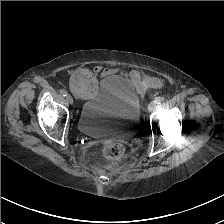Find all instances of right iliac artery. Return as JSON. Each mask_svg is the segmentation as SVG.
<instances>
[{
    "mask_svg": "<svg viewBox=\"0 0 224 224\" xmlns=\"http://www.w3.org/2000/svg\"><path fill=\"white\" fill-rule=\"evenodd\" d=\"M62 96H67V91L65 89L60 90Z\"/></svg>",
    "mask_w": 224,
    "mask_h": 224,
    "instance_id": "82829eb1",
    "label": "right iliac artery"
}]
</instances>
